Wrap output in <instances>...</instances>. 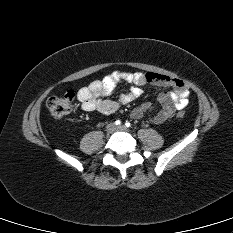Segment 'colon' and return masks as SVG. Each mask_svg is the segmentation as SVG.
Here are the masks:
<instances>
[{
    "instance_id": "1",
    "label": "colon",
    "mask_w": 233,
    "mask_h": 233,
    "mask_svg": "<svg viewBox=\"0 0 233 233\" xmlns=\"http://www.w3.org/2000/svg\"><path fill=\"white\" fill-rule=\"evenodd\" d=\"M75 94L72 90L67 91L61 96H53L47 100V108L50 114L57 119H60L69 114L73 108ZM185 112L183 110L178 111L177 117L183 118Z\"/></svg>"
}]
</instances>
